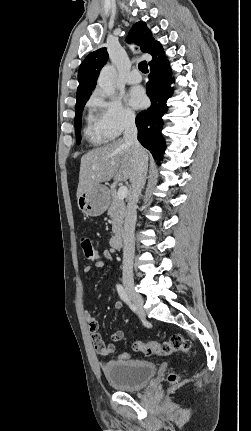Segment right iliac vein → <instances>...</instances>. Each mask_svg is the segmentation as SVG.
Listing matches in <instances>:
<instances>
[{"mask_svg": "<svg viewBox=\"0 0 251 431\" xmlns=\"http://www.w3.org/2000/svg\"><path fill=\"white\" fill-rule=\"evenodd\" d=\"M124 286H125V289H126L127 293L129 294V296L131 297V299L135 303V305L141 311H143L144 300H143L142 296L135 290L134 284L131 283V282L126 281L124 283Z\"/></svg>", "mask_w": 251, "mask_h": 431, "instance_id": "1", "label": "right iliac vein"}]
</instances>
